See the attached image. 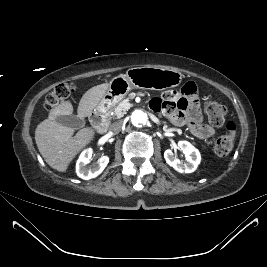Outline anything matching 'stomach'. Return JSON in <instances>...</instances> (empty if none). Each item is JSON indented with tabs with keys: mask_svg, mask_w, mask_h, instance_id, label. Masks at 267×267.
<instances>
[{
	"mask_svg": "<svg viewBox=\"0 0 267 267\" xmlns=\"http://www.w3.org/2000/svg\"><path fill=\"white\" fill-rule=\"evenodd\" d=\"M183 75L179 71L150 66L129 68L126 74L114 77L102 99L96 106L97 112L113 108L134 88L164 90L180 85Z\"/></svg>",
	"mask_w": 267,
	"mask_h": 267,
	"instance_id": "0dacf381",
	"label": "stomach"
}]
</instances>
